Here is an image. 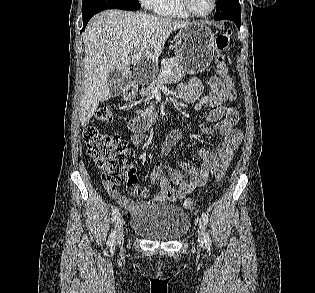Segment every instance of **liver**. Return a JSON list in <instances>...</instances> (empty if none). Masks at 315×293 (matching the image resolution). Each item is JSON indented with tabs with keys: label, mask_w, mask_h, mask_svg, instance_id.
Segmentation results:
<instances>
[{
	"label": "liver",
	"mask_w": 315,
	"mask_h": 293,
	"mask_svg": "<svg viewBox=\"0 0 315 293\" xmlns=\"http://www.w3.org/2000/svg\"><path fill=\"white\" fill-rule=\"evenodd\" d=\"M189 24V21L144 12L113 9L91 19L83 34L85 80L79 114L81 125L85 127L89 123L99 102L113 95V83L109 81L111 72L120 70L123 75H129L130 62H136L142 56L158 61L170 34ZM137 41L139 44L135 47Z\"/></svg>",
	"instance_id": "obj_1"
}]
</instances>
